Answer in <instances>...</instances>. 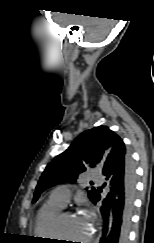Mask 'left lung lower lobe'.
<instances>
[{
	"label": "left lung lower lobe",
	"instance_id": "0a47b994",
	"mask_svg": "<svg viewBox=\"0 0 154 243\" xmlns=\"http://www.w3.org/2000/svg\"><path fill=\"white\" fill-rule=\"evenodd\" d=\"M102 173L106 180L104 185L108 187L109 192L100 208L105 226L100 243H127L136 180L135 168L126 148L117 155L107 157ZM101 192L102 189L98 188L92 203L96 204L101 199Z\"/></svg>",
	"mask_w": 154,
	"mask_h": 243
}]
</instances>
